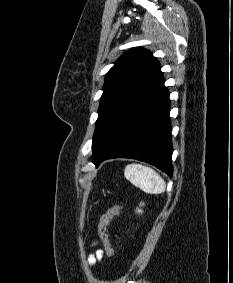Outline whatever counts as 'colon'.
Returning <instances> with one entry per match:
<instances>
[{"label": "colon", "mask_w": 233, "mask_h": 283, "mask_svg": "<svg viewBox=\"0 0 233 283\" xmlns=\"http://www.w3.org/2000/svg\"><path fill=\"white\" fill-rule=\"evenodd\" d=\"M122 207V201L112 206L100 217L98 223V233L102 241L103 248L105 250L106 255L111 259L114 258L115 252L108 235V225L111 220L121 212Z\"/></svg>", "instance_id": "colon-1"}]
</instances>
